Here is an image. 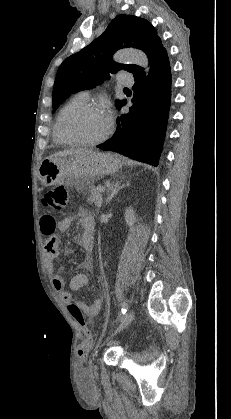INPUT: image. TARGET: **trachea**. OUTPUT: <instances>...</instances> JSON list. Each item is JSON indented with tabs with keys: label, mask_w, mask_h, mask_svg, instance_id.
I'll list each match as a JSON object with an SVG mask.
<instances>
[{
	"label": "trachea",
	"mask_w": 231,
	"mask_h": 419,
	"mask_svg": "<svg viewBox=\"0 0 231 419\" xmlns=\"http://www.w3.org/2000/svg\"><path fill=\"white\" fill-rule=\"evenodd\" d=\"M124 90H128V88H124Z\"/></svg>",
	"instance_id": "obj_1"
}]
</instances>
